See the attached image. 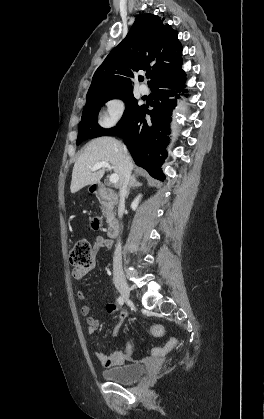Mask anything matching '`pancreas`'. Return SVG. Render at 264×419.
Masks as SVG:
<instances>
[{"label": "pancreas", "mask_w": 264, "mask_h": 419, "mask_svg": "<svg viewBox=\"0 0 264 419\" xmlns=\"http://www.w3.org/2000/svg\"><path fill=\"white\" fill-rule=\"evenodd\" d=\"M112 208L113 207H112V205L110 203H106V204H103L101 206L102 213L105 214L107 216V218L109 217Z\"/></svg>", "instance_id": "pancreas-1"}]
</instances>
